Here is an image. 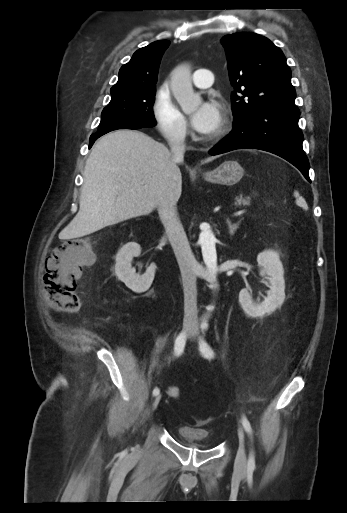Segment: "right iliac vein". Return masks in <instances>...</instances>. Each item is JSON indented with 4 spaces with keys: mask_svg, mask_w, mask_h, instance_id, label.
<instances>
[{
    "mask_svg": "<svg viewBox=\"0 0 347 513\" xmlns=\"http://www.w3.org/2000/svg\"><path fill=\"white\" fill-rule=\"evenodd\" d=\"M191 328H192V325H191V323H190V322H185V323H184V326H183L184 333H186L187 335H189V334H190V331H191ZM160 400H161V395H158V396L154 399V401H153V403H152V411H154V410L157 408V406H158V404H159Z\"/></svg>",
    "mask_w": 347,
    "mask_h": 513,
    "instance_id": "1",
    "label": "right iliac vein"
}]
</instances>
